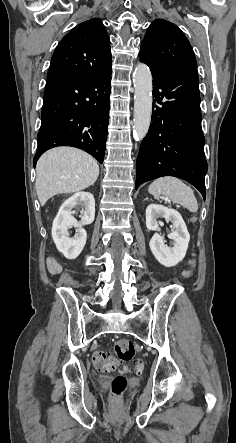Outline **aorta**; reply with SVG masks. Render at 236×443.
I'll use <instances>...</instances> for the list:
<instances>
[{
    "mask_svg": "<svg viewBox=\"0 0 236 443\" xmlns=\"http://www.w3.org/2000/svg\"><path fill=\"white\" fill-rule=\"evenodd\" d=\"M134 88V135L142 140L149 130L152 114V76L144 63L135 67Z\"/></svg>",
    "mask_w": 236,
    "mask_h": 443,
    "instance_id": "762f6f07",
    "label": "aorta"
}]
</instances>
